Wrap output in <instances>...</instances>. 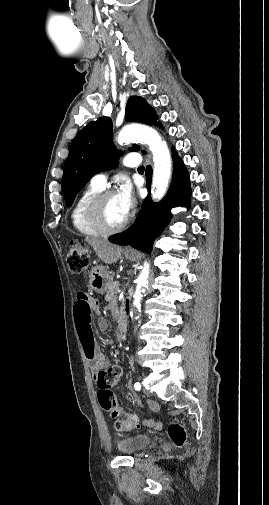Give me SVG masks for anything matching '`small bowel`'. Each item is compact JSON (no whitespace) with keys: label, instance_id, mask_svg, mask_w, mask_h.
I'll return each mask as SVG.
<instances>
[{"label":"small bowel","instance_id":"obj_1","mask_svg":"<svg viewBox=\"0 0 269 505\" xmlns=\"http://www.w3.org/2000/svg\"><path fill=\"white\" fill-rule=\"evenodd\" d=\"M98 312L99 307L96 301L89 295L87 289H78L76 292L75 299V322L76 328L81 341L86 358L90 361L94 378L100 371L106 369L109 363L106 357L99 351L93 336L91 317L93 312ZM107 322L105 319L100 318L97 321V327L100 331H105L107 329ZM121 374V368L119 366H113ZM147 426H157L158 423L153 420H147L144 422Z\"/></svg>","mask_w":269,"mask_h":505}]
</instances>
